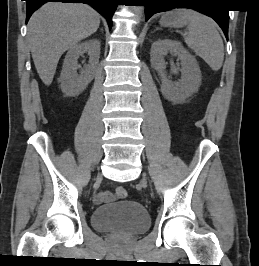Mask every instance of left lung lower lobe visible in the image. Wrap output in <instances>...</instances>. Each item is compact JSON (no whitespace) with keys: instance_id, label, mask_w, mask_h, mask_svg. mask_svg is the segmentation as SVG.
I'll use <instances>...</instances> for the list:
<instances>
[{"instance_id":"obj_1","label":"left lung lower lobe","mask_w":259,"mask_h":266,"mask_svg":"<svg viewBox=\"0 0 259 266\" xmlns=\"http://www.w3.org/2000/svg\"><path fill=\"white\" fill-rule=\"evenodd\" d=\"M145 6V20L147 21L153 14L164 12L171 8H182L187 6H198L195 10L212 17L223 30L226 38L228 39V25L229 13L227 9L214 8L211 4L216 3L217 0H196L188 3L185 0H140ZM189 9V7H186Z\"/></svg>"}]
</instances>
